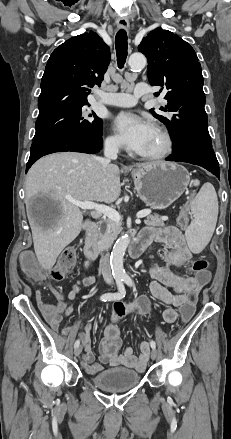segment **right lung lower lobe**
Returning <instances> with one entry per match:
<instances>
[{"mask_svg":"<svg viewBox=\"0 0 231 439\" xmlns=\"http://www.w3.org/2000/svg\"><path fill=\"white\" fill-rule=\"evenodd\" d=\"M102 135L100 136H76L60 135L33 141L30 157L26 165V172L39 158L55 152H82L94 154L102 147Z\"/></svg>","mask_w":231,"mask_h":439,"instance_id":"obj_1","label":"right lung lower lobe"}]
</instances>
